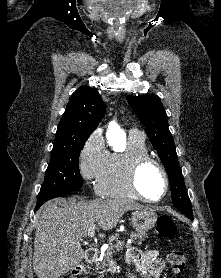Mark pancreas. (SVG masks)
<instances>
[{
  "mask_svg": "<svg viewBox=\"0 0 221 278\" xmlns=\"http://www.w3.org/2000/svg\"><path fill=\"white\" fill-rule=\"evenodd\" d=\"M146 234L145 233H132L131 234V239L134 243L141 244L142 241L145 240ZM116 241V244L113 242ZM109 242L110 246L107 249V251L102 255V260L100 262L101 265V275L98 276L97 278H102V276L106 273V267L109 265L111 262V259L113 255L118 253L123 249V244H120V241L118 240V235L116 234L115 236L109 237ZM130 245H127L129 247Z\"/></svg>",
  "mask_w": 221,
  "mask_h": 278,
  "instance_id": "obj_1",
  "label": "pancreas"
}]
</instances>
